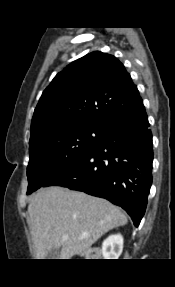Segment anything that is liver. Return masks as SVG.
I'll use <instances>...</instances> for the list:
<instances>
[{
    "instance_id": "6515ba94",
    "label": "liver",
    "mask_w": 175,
    "mask_h": 287,
    "mask_svg": "<svg viewBox=\"0 0 175 287\" xmlns=\"http://www.w3.org/2000/svg\"><path fill=\"white\" fill-rule=\"evenodd\" d=\"M28 213L36 259L58 247L59 259H71L109 230L127 224L122 210L107 200L57 186L40 189Z\"/></svg>"
}]
</instances>
